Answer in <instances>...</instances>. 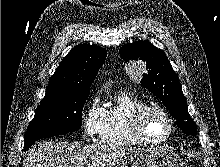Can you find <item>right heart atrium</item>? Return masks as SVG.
Wrapping results in <instances>:
<instances>
[{"instance_id": "d8ad5b80", "label": "right heart atrium", "mask_w": 220, "mask_h": 167, "mask_svg": "<svg viewBox=\"0 0 220 167\" xmlns=\"http://www.w3.org/2000/svg\"><path fill=\"white\" fill-rule=\"evenodd\" d=\"M105 110L99 103V97L93 96L85 110L83 117V133L88 139L100 134Z\"/></svg>"}]
</instances>
